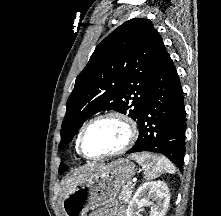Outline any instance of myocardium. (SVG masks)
<instances>
[{
	"label": "myocardium",
	"instance_id": "obj_1",
	"mask_svg": "<svg viewBox=\"0 0 221 216\" xmlns=\"http://www.w3.org/2000/svg\"><path fill=\"white\" fill-rule=\"evenodd\" d=\"M105 119H115L124 125L125 130H126L125 141L119 148L113 151L106 152V153L99 154V155L86 154L83 148V139H84L85 133L94 123L101 121V120H105ZM137 137H138V126L135 120L131 118L129 115H127L126 113H123L121 111L111 110V111H107L105 113H102L100 115L93 117L91 120H89L85 124V126L82 128L77 139V149H78V152L81 155H83L85 158L103 159V158L113 157V156L124 153L135 143Z\"/></svg>",
	"mask_w": 221,
	"mask_h": 216
}]
</instances>
